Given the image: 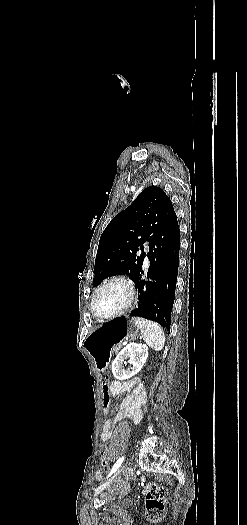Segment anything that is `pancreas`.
<instances>
[{"mask_svg":"<svg viewBox=\"0 0 247 525\" xmlns=\"http://www.w3.org/2000/svg\"><path fill=\"white\" fill-rule=\"evenodd\" d=\"M111 352L113 355H117V352H120V347H111Z\"/></svg>","mask_w":247,"mask_h":525,"instance_id":"pancreas-1","label":"pancreas"}]
</instances>
